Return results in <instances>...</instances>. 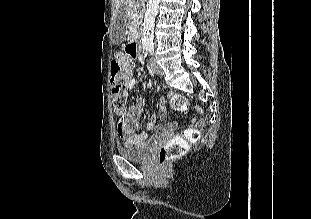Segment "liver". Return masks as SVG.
Returning a JSON list of instances; mask_svg holds the SVG:
<instances>
[{
  "instance_id": "1",
  "label": "liver",
  "mask_w": 311,
  "mask_h": 219,
  "mask_svg": "<svg viewBox=\"0 0 311 219\" xmlns=\"http://www.w3.org/2000/svg\"><path fill=\"white\" fill-rule=\"evenodd\" d=\"M127 0H112V6H113V17L114 20L117 17V14L120 10V7L122 6L123 3H125Z\"/></svg>"
}]
</instances>
